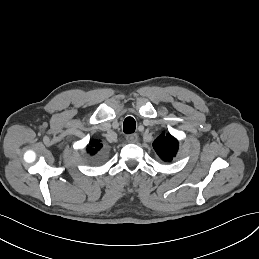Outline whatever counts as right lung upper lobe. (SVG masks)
I'll return each mask as SVG.
<instances>
[{"instance_id":"right-lung-upper-lobe-1","label":"right lung upper lobe","mask_w":259,"mask_h":259,"mask_svg":"<svg viewBox=\"0 0 259 259\" xmlns=\"http://www.w3.org/2000/svg\"><path fill=\"white\" fill-rule=\"evenodd\" d=\"M102 146L101 140L93 139L89 142V145H87V153L94 155L102 148Z\"/></svg>"}]
</instances>
